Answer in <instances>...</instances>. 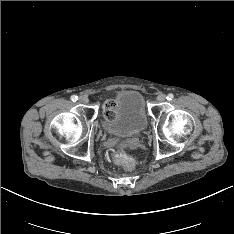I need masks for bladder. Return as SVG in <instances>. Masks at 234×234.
<instances>
[{"instance_id": "31cf9c89", "label": "bladder", "mask_w": 234, "mask_h": 234, "mask_svg": "<svg viewBox=\"0 0 234 234\" xmlns=\"http://www.w3.org/2000/svg\"><path fill=\"white\" fill-rule=\"evenodd\" d=\"M112 113L105 117L106 130L116 136H134L142 133L148 124L144 98L135 90H122L110 99Z\"/></svg>"}]
</instances>
